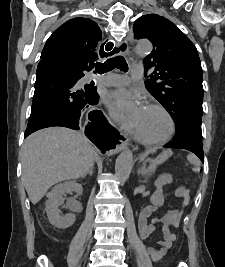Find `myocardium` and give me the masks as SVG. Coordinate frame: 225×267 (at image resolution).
<instances>
[{"label": "myocardium", "mask_w": 225, "mask_h": 267, "mask_svg": "<svg viewBox=\"0 0 225 267\" xmlns=\"http://www.w3.org/2000/svg\"><path fill=\"white\" fill-rule=\"evenodd\" d=\"M145 108H152V109H158L160 111H162L169 119L170 124H171V130L170 133L167 137L160 139V140H152L147 138L142 131L135 126V132L136 134L139 136V138L141 139L142 142L149 144V145H162L165 143H168L170 140H172V138L174 137L175 133H176V122L175 119L173 117V115L170 113V111L165 108L164 106L157 104V103H148L145 105Z\"/></svg>", "instance_id": "f54148a6"}]
</instances>
